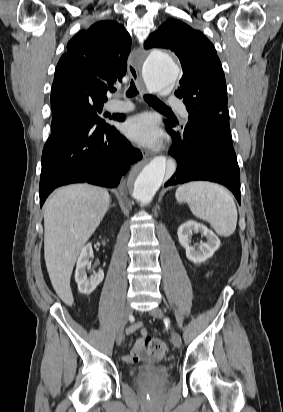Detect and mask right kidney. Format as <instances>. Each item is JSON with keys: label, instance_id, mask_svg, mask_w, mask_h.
<instances>
[{"label": "right kidney", "instance_id": "1", "mask_svg": "<svg viewBox=\"0 0 283 412\" xmlns=\"http://www.w3.org/2000/svg\"><path fill=\"white\" fill-rule=\"evenodd\" d=\"M92 255L93 249L91 243H89L82 248L76 265L75 281L78 284L79 292L85 295L91 294L104 278L103 270H99L90 279L87 278L86 267Z\"/></svg>", "mask_w": 283, "mask_h": 412}]
</instances>
